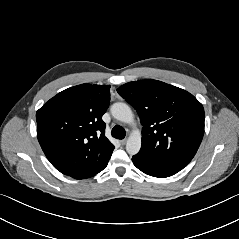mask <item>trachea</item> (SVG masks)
<instances>
[{
	"mask_svg": "<svg viewBox=\"0 0 239 239\" xmlns=\"http://www.w3.org/2000/svg\"><path fill=\"white\" fill-rule=\"evenodd\" d=\"M111 134L116 139H124L126 131L123 127L116 125L113 127Z\"/></svg>",
	"mask_w": 239,
	"mask_h": 239,
	"instance_id": "trachea-1",
	"label": "trachea"
}]
</instances>
